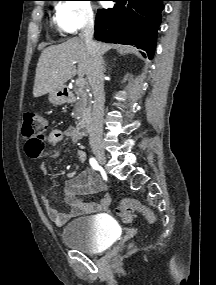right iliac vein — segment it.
Segmentation results:
<instances>
[{"label": "right iliac vein", "mask_w": 216, "mask_h": 285, "mask_svg": "<svg viewBox=\"0 0 216 285\" xmlns=\"http://www.w3.org/2000/svg\"><path fill=\"white\" fill-rule=\"evenodd\" d=\"M93 153H94V155L96 156L98 162L101 165H105L106 164V156H105V153H104L102 148H100V147H93Z\"/></svg>", "instance_id": "1"}]
</instances>
